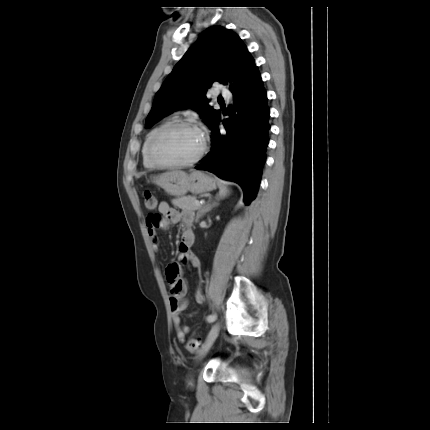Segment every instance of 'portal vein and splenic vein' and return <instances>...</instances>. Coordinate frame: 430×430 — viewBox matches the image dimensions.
Wrapping results in <instances>:
<instances>
[{
    "instance_id": "portal-vein-and-splenic-vein-1",
    "label": "portal vein and splenic vein",
    "mask_w": 430,
    "mask_h": 430,
    "mask_svg": "<svg viewBox=\"0 0 430 430\" xmlns=\"http://www.w3.org/2000/svg\"><path fill=\"white\" fill-rule=\"evenodd\" d=\"M196 206H201L203 205V202H199L198 200L195 201Z\"/></svg>"
}]
</instances>
